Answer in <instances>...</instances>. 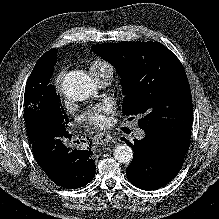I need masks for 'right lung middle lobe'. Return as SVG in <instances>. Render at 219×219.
I'll use <instances>...</instances> for the list:
<instances>
[{"mask_svg":"<svg viewBox=\"0 0 219 219\" xmlns=\"http://www.w3.org/2000/svg\"><path fill=\"white\" fill-rule=\"evenodd\" d=\"M57 62V56L48 52L36 62L30 74L24 94V120L26 125L48 118L55 120L63 128L68 127V116L65 113L60 96L50 84V78Z\"/></svg>","mask_w":219,"mask_h":219,"instance_id":"1","label":"right lung middle lobe"}]
</instances>
